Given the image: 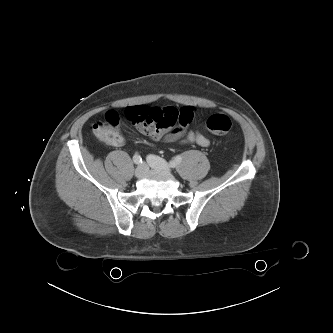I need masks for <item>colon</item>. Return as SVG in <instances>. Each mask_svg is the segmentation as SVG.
<instances>
[{
  "mask_svg": "<svg viewBox=\"0 0 333 333\" xmlns=\"http://www.w3.org/2000/svg\"><path fill=\"white\" fill-rule=\"evenodd\" d=\"M120 124V116L114 111H110L105 116V121L96 122L93 127L94 135L106 144H111L115 138V132ZM207 129L216 135L227 134L232 122L227 115L213 114L206 121Z\"/></svg>",
  "mask_w": 333,
  "mask_h": 333,
  "instance_id": "colon-1",
  "label": "colon"
}]
</instances>
